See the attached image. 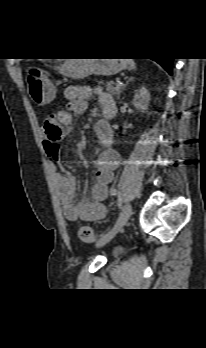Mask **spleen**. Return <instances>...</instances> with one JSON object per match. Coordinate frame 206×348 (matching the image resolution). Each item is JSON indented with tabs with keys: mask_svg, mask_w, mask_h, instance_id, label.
<instances>
[{
	"mask_svg": "<svg viewBox=\"0 0 206 348\" xmlns=\"http://www.w3.org/2000/svg\"><path fill=\"white\" fill-rule=\"evenodd\" d=\"M127 63L130 65V67H131L132 69H135V68H136L135 62H134L132 59H128V60H127Z\"/></svg>",
	"mask_w": 206,
	"mask_h": 348,
	"instance_id": "spleen-1",
	"label": "spleen"
}]
</instances>
